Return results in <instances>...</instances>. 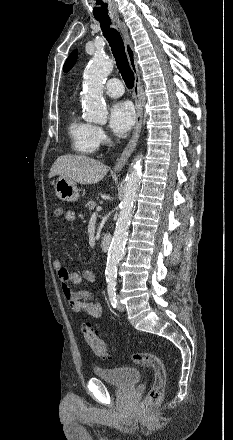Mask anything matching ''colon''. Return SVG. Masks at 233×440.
<instances>
[{
    "mask_svg": "<svg viewBox=\"0 0 233 440\" xmlns=\"http://www.w3.org/2000/svg\"><path fill=\"white\" fill-rule=\"evenodd\" d=\"M54 215L60 217L62 215V207L55 205ZM82 333L85 341L90 346L93 353L100 359H110L111 350L108 345L100 338L98 332L89 324L82 325ZM132 360L146 368H151L154 372L153 385L140 405L143 412L154 410L162 401L166 385V372L162 360L148 352H135Z\"/></svg>",
    "mask_w": 233,
    "mask_h": 440,
    "instance_id": "1",
    "label": "colon"
}]
</instances>
